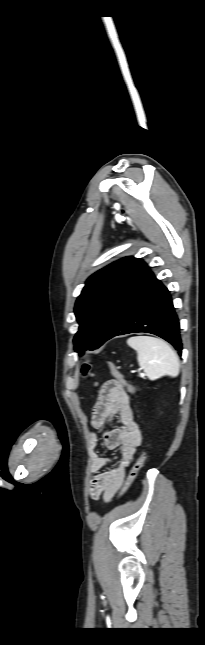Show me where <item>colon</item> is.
I'll return each mask as SVG.
<instances>
[{
  "label": "colon",
  "instance_id": "1",
  "mask_svg": "<svg viewBox=\"0 0 205 645\" xmlns=\"http://www.w3.org/2000/svg\"><path fill=\"white\" fill-rule=\"evenodd\" d=\"M107 367L109 368L111 374L115 377V379L108 381V387L111 390H123L127 389L130 393H135V388L130 385L123 377V375L119 372L118 368L110 361L106 362ZM81 374L84 377H92L93 374L91 372V365L89 362H84L82 367H81ZM146 461V453L143 452L137 461L135 462L134 466L132 467L131 471L128 474V477L122 487V490L119 494V496H123L131 487L133 484L134 480L136 479L139 471L142 469Z\"/></svg>",
  "mask_w": 205,
  "mask_h": 645
}]
</instances>
